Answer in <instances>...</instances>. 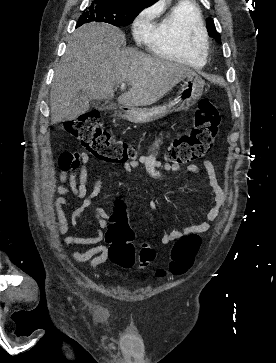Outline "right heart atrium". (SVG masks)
<instances>
[{"label":"right heart atrium","instance_id":"right-heart-atrium-1","mask_svg":"<svg viewBox=\"0 0 276 363\" xmlns=\"http://www.w3.org/2000/svg\"><path fill=\"white\" fill-rule=\"evenodd\" d=\"M155 12V9H146L135 18L132 31L136 40L145 41L148 39L153 29L152 19Z\"/></svg>","mask_w":276,"mask_h":363}]
</instances>
